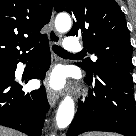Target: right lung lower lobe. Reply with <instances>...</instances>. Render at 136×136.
Here are the masks:
<instances>
[{"label": "right lung lower lobe", "instance_id": "98d812e1", "mask_svg": "<svg viewBox=\"0 0 136 136\" xmlns=\"http://www.w3.org/2000/svg\"><path fill=\"white\" fill-rule=\"evenodd\" d=\"M34 50L40 52L39 59L25 79H43L51 63L48 39ZM28 55L11 63L6 74H0V125L26 133L41 136L46 112L49 109L43 86L31 92H23L22 85L15 81L18 62H26Z\"/></svg>", "mask_w": 136, "mask_h": 136}]
</instances>
